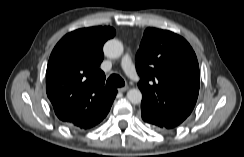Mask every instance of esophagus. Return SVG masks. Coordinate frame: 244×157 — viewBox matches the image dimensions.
Wrapping results in <instances>:
<instances>
[{
    "label": "esophagus",
    "instance_id": "esophagus-1",
    "mask_svg": "<svg viewBox=\"0 0 244 157\" xmlns=\"http://www.w3.org/2000/svg\"><path fill=\"white\" fill-rule=\"evenodd\" d=\"M129 89V87L128 86H125V87H120V88H118V91L119 92H125V91H127Z\"/></svg>",
    "mask_w": 244,
    "mask_h": 157
}]
</instances>
